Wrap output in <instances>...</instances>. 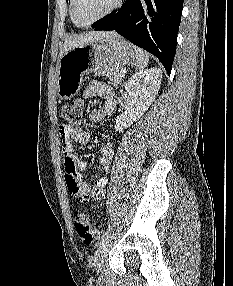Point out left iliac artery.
<instances>
[{
  "instance_id": "obj_1",
  "label": "left iliac artery",
  "mask_w": 233,
  "mask_h": 286,
  "mask_svg": "<svg viewBox=\"0 0 233 286\" xmlns=\"http://www.w3.org/2000/svg\"><path fill=\"white\" fill-rule=\"evenodd\" d=\"M108 233H109V230L105 231L102 234L100 241L97 243V246H100L107 239Z\"/></svg>"
}]
</instances>
